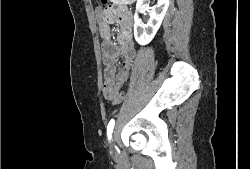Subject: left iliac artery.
Returning <instances> with one entry per match:
<instances>
[{"label": "left iliac artery", "mask_w": 250, "mask_h": 169, "mask_svg": "<svg viewBox=\"0 0 250 169\" xmlns=\"http://www.w3.org/2000/svg\"><path fill=\"white\" fill-rule=\"evenodd\" d=\"M114 125H115V121H114V119H111V121L108 123V126H107V136H108L109 141L112 138V132L114 129Z\"/></svg>", "instance_id": "1"}]
</instances>
